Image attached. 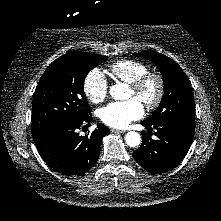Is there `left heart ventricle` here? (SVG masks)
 <instances>
[{"label": "left heart ventricle", "mask_w": 221, "mask_h": 221, "mask_svg": "<svg viewBox=\"0 0 221 221\" xmlns=\"http://www.w3.org/2000/svg\"><path fill=\"white\" fill-rule=\"evenodd\" d=\"M155 93H156V84L153 81H151L145 86L144 90L140 95H136L134 91L130 88L129 97H135L143 103V101L145 100L152 99L155 96Z\"/></svg>", "instance_id": "obj_1"}]
</instances>
